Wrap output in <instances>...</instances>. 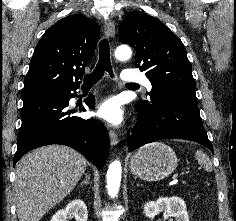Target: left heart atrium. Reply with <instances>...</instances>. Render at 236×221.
I'll use <instances>...</instances> for the list:
<instances>
[{"label": "left heart atrium", "instance_id": "39dd6f15", "mask_svg": "<svg viewBox=\"0 0 236 221\" xmlns=\"http://www.w3.org/2000/svg\"><path fill=\"white\" fill-rule=\"evenodd\" d=\"M95 115L113 126H120L125 120V110L118 98L110 97L102 101Z\"/></svg>", "mask_w": 236, "mask_h": 221}]
</instances>
